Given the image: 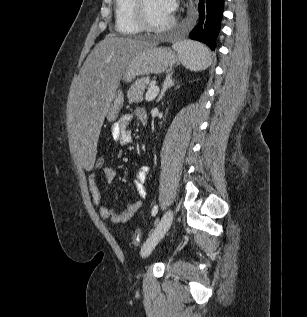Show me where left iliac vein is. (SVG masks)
Listing matches in <instances>:
<instances>
[{
    "instance_id": "4c4485c4",
    "label": "left iliac vein",
    "mask_w": 307,
    "mask_h": 317,
    "mask_svg": "<svg viewBox=\"0 0 307 317\" xmlns=\"http://www.w3.org/2000/svg\"><path fill=\"white\" fill-rule=\"evenodd\" d=\"M173 221V212L172 210H167L160 222L157 224L156 228L149 236V238L144 243L141 253L143 256L148 255L154 247L160 242V240L164 237L166 232L169 230Z\"/></svg>"
}]
</instances>
